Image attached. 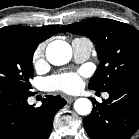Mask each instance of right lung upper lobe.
Masks as SVG:
<instances>
[{
    "instance_id": "right-lung-upper-lobe-1",
    "label": "right lung upper lobe",
    "mask_w": 139,
    "mask_h": 139,
    "mask_svg": "<svg viewBox=\"0 0 139 139\" xmlns=\"http://www.w3.org/2000/svg\"><path fill=\"white\" fill-rule=\"evenodd\" d=\"M64 33L65 30L56 25L44 27L6 26L0 28V36H16L39 44L56 33Z\"/></svg>"
}]
</instances>
